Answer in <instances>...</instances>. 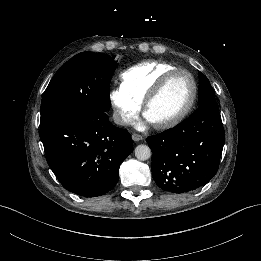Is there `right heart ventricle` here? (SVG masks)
Here are the masks:
<instances>
[{"mask_svg":"<svg viewBox=\"0 0 261 261\" xmlns=\"http://www.w3.org/2000/svg\"><path fill=\"white\" fill-rule=\"evenodd\" d=\"M174 68L170 63L157 60L138 63L121 73V87L142 103L159 79Z\"/></svg>","mask_w":261,"mask_h":261,"instance_id":"right-heart-ventricle-1","label":"right heart ventricle"}]
</instances>
